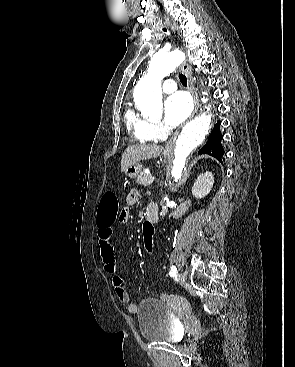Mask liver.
I'll list each match as a JSON object with an SVG mask.
<instances>
[{
  "mask_svg": "<svg viewBox=\"0 0 295 367\" xmlns=\"http://www.w3.org/2000/svg\"><path fill=\"white\" fill-rule=\"evenodd\" d=\"M162 150V146L155 144H140L127 147L122 155L121 171L125 172L127 167L141 160L159 157Z\"/></svg>",
  "mask_w": 295,
  "mask_h": 367,
  "instance_id": "liver-1",
  "label": "liver"
}]
</instances>
